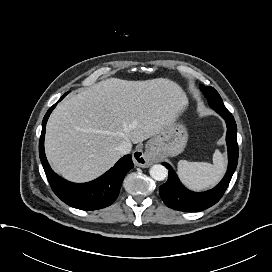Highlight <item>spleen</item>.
Masks as SVG:
<instances>
[{"instance_id": "1", "label": "spleen", "mask_w": 272, "mask_h": 272, "mask_svg": "<svg viewBox=\"0 0 272 272\" xmlns=\"http://www.w3.org/2000/svg\"><path fill=\"white\" fill-rule=\"evenodd\" d=\"M226 161L219 150L213 155V164L206 162H178V174L185 185L194 190H203L215 185L223 176Z\"/></svg>"}]
</instances>
